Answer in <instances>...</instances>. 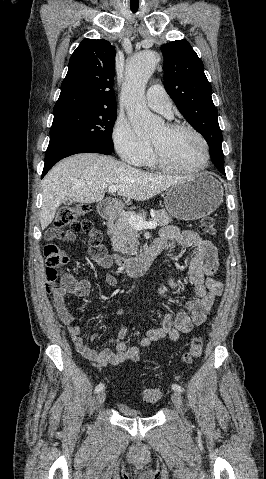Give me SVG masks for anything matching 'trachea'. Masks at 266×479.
Here are the masks:
<instances>
[{"label": "trachea", "instance_id": "trachea-1", "mask_svg": "<svg viewBox=\"0 0 266 479\" xmlns=\"http://www.w3.org/2000/svg\"><path fill=\"white\" fill-rule=\"evenodd\" d=\"M131 11L135 13L137 11V9L136 8H131Z\"/></svg>", "mask_w": 266, "mask_h": 479}]
</instances>
